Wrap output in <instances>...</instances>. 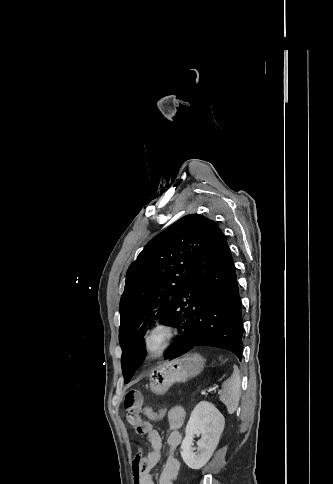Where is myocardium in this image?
I'll use <instances>...</instances> for the list:
<instances>
[{
    "instance_id": "1",
    "label": "myocardium",
    "mask_w": 333,
    "mask_h": 484,
    "mask_svg": "<svg viewBox=\"0 0 333 484\" xmlns=\"http://www.w3.org/2000/svg\"><path fill=\"white\" fill-rule=\"evenodd\" d=\"M175 326L168 320L161 319L153 323L143 336L145 353L152 357L161 355L176 336Z\"/></svg>"
}]
</instances>
